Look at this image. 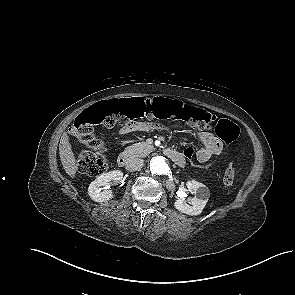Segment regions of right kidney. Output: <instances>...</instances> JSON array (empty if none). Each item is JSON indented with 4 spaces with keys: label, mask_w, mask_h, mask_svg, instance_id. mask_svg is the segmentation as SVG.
Returning <instances> with one entry per match:
<instances>
[{
    "label": "right kidney",
    "mask_w": 295,
    "mask_h": 295,
    "mask_svg": "<svg viewBox=\"0 0 295 295\" xmlns=\"http://www.w3.org/2000/svg\"><path fill=\"white\" fill-rule=\"evenodd\" d=\"M123 173L120 170H113L99 175L88 187V195L95 202H105L113 197L112 190L102 187L108 186L109 182L118 184L122 182Z\"/></svg>",
    "instance_id": "ca27d5eb"
}]
</instances>
